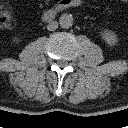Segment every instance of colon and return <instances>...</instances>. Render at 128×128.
Instances as JSON below:
<instances>
[{"mask_svg":"<svg viewBox=\"0 0 128 128\" xmlns=\"http://www.w3.org/2000/svg\"><path fill=\"white\" fill-rule=\"evenodd\" d=\"M13 25V17L9 8L0 4V29L7 30L10 29Z\"/></svg>","mask_w":128,"mask_h":128,"instance_id":"1","label":"colon"}]
</instances>
